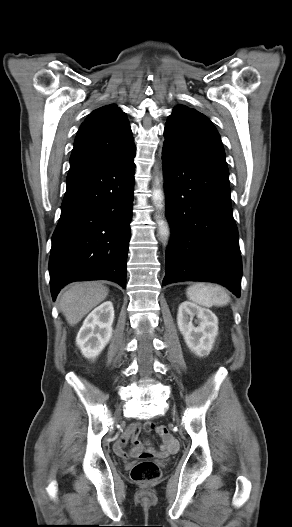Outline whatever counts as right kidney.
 I'll list each match as a JSON object with an SVG mask.
<instances>
[{"mask_svg": "<svg viewBox=\"0 0 292 527\" xmlns=\"http://www.w3.org/2000/svg\"><path fill=\"white\" fill-rule=\"evenodd\" d=\"M113 321L114 308L110 301L102 303L87 316L76 337V344L86 358H96L108 344Z\"/></svg>", "mask_w": 292, "mask_h": 527, "instance_id": "obj_1", "label": "right kidney"}]
</instances>
